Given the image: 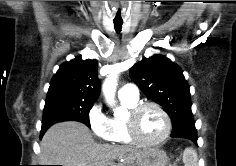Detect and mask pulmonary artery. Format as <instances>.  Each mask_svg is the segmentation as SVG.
<instances>
[{"label": "pulmonary artery", "mask_w": 236, "mask_h": 166, "mask_svg": "<svg viewBox=\"0 0 236 166\" xmlns=\"http://www.w3.org/2000/svg\"><path fill=\"white\" fill-rule=\"evenodd\" d=\"M119 98L128 99L131 101H138L139 99V90L135 84H126L119 90Z\"/></svg>", "instance_id": "pulmonary-artery-1"}]
</instances>
